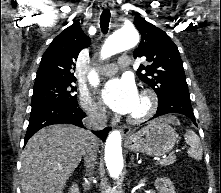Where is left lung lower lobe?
<instances>
[{"label": "left lung lower lobe", "instance_id": "1", "mask_svg": "<svg viewBox=\"0 0 221 193\" xmlns=\"http://www.w3.org/2000/svg\"><path fill=\"white\" fill-rule=\"evenodd\" d=\"M168 113H179L187 116L196 125L193 108L191 106L190 94L188 90H179L161 102H158V108L153 118ZM197 126V125H196Z\"/></svg>", "mask_w": 221, "mask_h": 193}]
</instances>
